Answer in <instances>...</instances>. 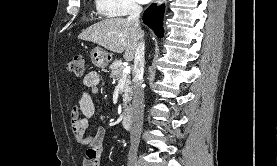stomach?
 <instances>
[{"label":"stomach","mask_w":277,"mask_h":166,"mask_svg":"<svg viewBox=\"0 0 277 166\" xmlns=\"http://www.w3.org/2000/svg\"><path fill=\"white\" fill-rule=\"evenodd\" d=\"M92 63L99 68H105L111 62V54L106 50L95 47L90 54Z\"/></svg>","instance_id":"0dacf381"}]
</instances>
